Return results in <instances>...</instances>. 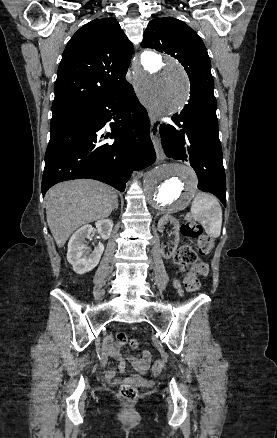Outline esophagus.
Masks as SVG:
<instances>
[{
    "label": "esophagus",
    "instance_id": "34e87169",
    "mask_svg": "<svg viewBox=\"0 0 277 438\" xmlns=\"http://www.w3.org/2000/svg\"><path fill=\"white\" fill-rule=\"evenodd\" d=\"M133 65L135 67H139L140 66V62L138 57L136 56L133 62ZM150 119H151V128H150V137L152 139V142L154 144L156 153H157V157L159 159H164V153L162 150V146H161V141H160V137H159V128H160V124L161 122L159 121V119L153 115L150 114Z\"/></svg>",
    "mask_w": 277,
    "mask_h": 438
}]
</instances>
